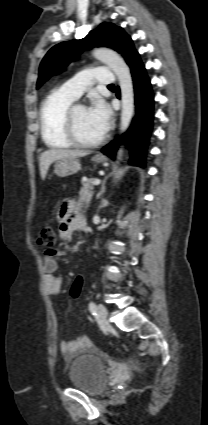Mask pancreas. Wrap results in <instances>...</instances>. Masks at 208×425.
<instances>
[{
	"mask_svg": "<svg viewBox=\"0 0 208 425\" xmlns=\"http://www.w3.org/2000/svg\"><path fill=\"white\" fill-rule=\"evenodd\" d=\"M94 180H95L94 178H90V179H87L86 181H83L82 183L83 186L79 192L81 202L89 203L90 200L92 199V196L94 194V191H93Z\"/></svg>",
	"mask_w": 208,
	"mask_h": 425,
	"instance_id": "obj_1",
	"label": "pancreas"
}]
</instances>
